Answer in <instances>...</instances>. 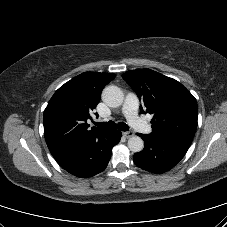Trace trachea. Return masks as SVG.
I'll return each mask as SVG.
<instances>
[{
  "label": "trachea",
  "instance_id": "trachea-1",
  "mask_svg": "<svg viewBox=\"0 0 227 227\" xmlns=\"http://www.w3.org/2000/svg\"><path fill=\"white\" fill-rule=\"evenodd\" d=\"M96 126L100 127V128H104V129H119L121 131H128L129 130V126L127 124H125L124 122H120L118 124H116L114 121H108V122H99V123H95Z\"/></svg>",
  "mask_w": 227,
  "mask_h": 227
}]
</instances>
